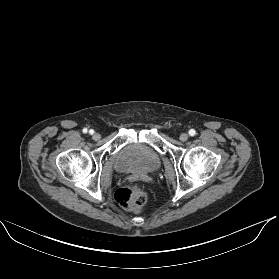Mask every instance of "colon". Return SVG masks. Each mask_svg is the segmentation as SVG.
I'll use <instances>...</instances> for the list:
<instances>
[{
    "instance_id": "colon-1",
    "label": "colon",
    "mask_w": 279,
    "mask_h": 279,
    "mask_svg": "<svg viewBox=\"0 0 279 279\" xmlns=\"http://www.w3.org/2000/svg\"><path fill=\"white\" fill-rule=\"evenodd\" d=\"M115 199L127 211H139L147 205V193L138 187L125 186L115 192Z\"/></svg>"
}]
</instances>
